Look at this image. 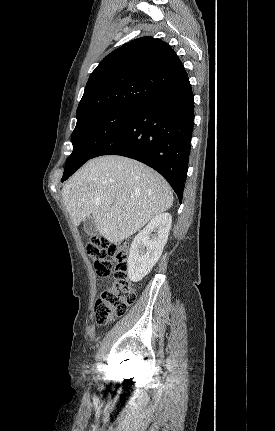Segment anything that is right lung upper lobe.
I'll use <instances>...</instances> for the list:
<instances>
[{
	"label": "right lung upper lobe",
	"mask_w": 275,
	"mask_h": 431,
	"mask_svg": "<svg viewBox=\"0 0 275 431\" xmlns=\"http://www.w3.org/2000/svg\"><path fill=\"white\" fill-rule=\"evenodd\" d=\"M187 77L185 68L164 41L132 40L107 55L91 73L76 118L114 107H140Z\"/></svg>",
	"instance_id": "obj_1"
}]
</instances>
